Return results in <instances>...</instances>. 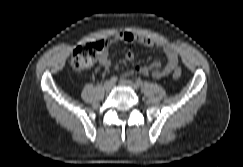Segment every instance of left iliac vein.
Returning a JSON list of instances; mask_svg holds the SVG:
<instances>
[{"label": "left iliac vein", "instance_id": "1", "mask_svg": "<svg viewBox=\"0 0 243 167\" xmlns=\"http://www.w3.org/2000/svg\"><path fill=\"white\" fill-rule=\"evenodd\" d=\"M120 84L123 85V86H128V87H130V88H132L134 90L137 89L136 85L131 80L123 79V80L120 81Z\"/></svg>", "mask_w": 243, "mask_h": 167}]
</instances>
